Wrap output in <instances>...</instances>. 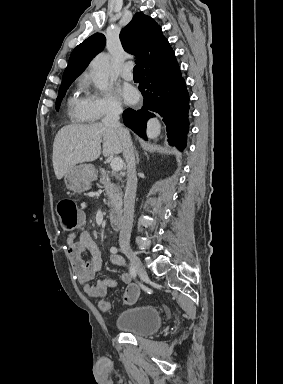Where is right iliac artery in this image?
<instances>
[{"label": "right iliac artery", "mask_w": 283, "mask_h": 384, "mask_svg": "<svg viewBox=\"0 0 283 384\" xmlns=\"http://www.w3.org/2000/svg\"><path fill=\"white\" fill-rule=\"evenodd\" d=\"M110 252L116 254L118 252V249L116 247H111ZM130 274L133 278L136 277V269L133 264H130Z\"/></svg>", "instance_id": "82829eb1"}]
</instances>
